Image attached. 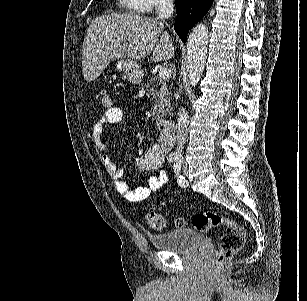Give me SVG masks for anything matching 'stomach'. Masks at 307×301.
<instances>
[{
    "label": "stomach",
    "instance_id": "stomach-1",
    "mask_svg": "<svg viewBox=\"0 0 307 301\" xmlns=\"http://www.w3.org/2000/svg\"><path fill=\"white\" fill-rule=\"evenodd\" d=\"M115 70L117 72H124L125 78L131 84H140L144 76L143 68L136 60H130V58H119L115 62Z\"/></svg>",
    "mask_w": 307,
    "mask_h": 301
}]
</instances>
